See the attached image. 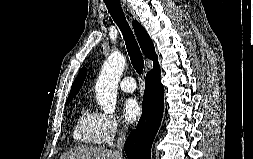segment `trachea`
<instances>
[{"instance_id": "trachea-1", "label": "trachea", "mask_w": 253, "mask_h": 159, "mask_svg": "<svg viewBox=\"0 0 253 159\" xmlns=\"http://www.w3.org/2000/svg\"><path fill=\"white\" fill-rule=\"evenodd\" d=\"M104 2L109 13L123 34L133 68L139 75H141L144 68V58L134 34L126 21L120 2L118 0H105Z\"/></svg>"}]
</instances>
